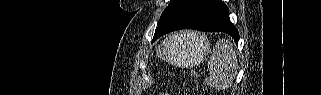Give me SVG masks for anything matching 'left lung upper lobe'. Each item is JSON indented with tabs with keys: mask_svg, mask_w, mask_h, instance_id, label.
Returning <instances> with one entry per match:
<instances>
[{
	"mask_svg": "<svg viewBox=\"0 0 321 95\" xmlns=\"http://www.w3.org/2000/svg\"><path fill=\"white\" fill-rule=\"evenodd\" d=\"M171 3H172V1H171ZM171 3H170V4H171ZM170 4L168 5V7L170 6ZM168 7L163 11L162 16L164 15V13H165L166 10L168 9ZM161 18H162V17H161ZM161 18H160V19H161ZM159 21H160V20H159ZM158 23H159V22H158Z\"/></svg>",
	"mask_w": 321,
	"mask_h": 95,
	"instance_id": "left-lung-upper-lobe-1",
	"label": "left lung upper lobe"
}]
</instances>
